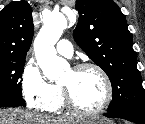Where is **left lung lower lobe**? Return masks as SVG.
<instances>
[{"label": "left lung lower lobe", "mask_w": 145, "mask_h": 124, "mask_svg": "<svg viewBox=\"0 0 145 124\" xmlns=\"http://www.w3.org/2000/svg\"><path fill=\"white\" fill-rule=\"evenodd\" d=\"M105 116L126 119L136 124H145V114L135 110L108 112L105 114Z\"/></svg>", "instance_id": "0a47b994"}]
</instances>
